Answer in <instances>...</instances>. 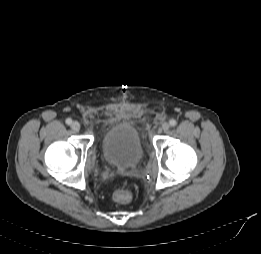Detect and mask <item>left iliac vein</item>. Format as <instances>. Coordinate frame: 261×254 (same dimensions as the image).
<instances>
[{
  "label": "left iliac vein",
  "instance_id": "4c4485c4",
  "mask_svg": "<svg viewBox=\"0 0 261 254\" xmlns=\"http://www.w3.org/2000/svg\"><path fill=\"white\" fill-rule=\"evenodd\" d=\"M169 128H170V125H169V123H167V122H164V123L161 125V129H162L163 131H168Z\"/></svg>",
  "mask_w": 261,
  "mask_h": 254
}]
</instances>
